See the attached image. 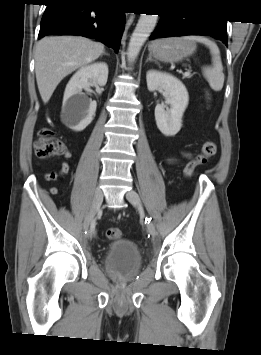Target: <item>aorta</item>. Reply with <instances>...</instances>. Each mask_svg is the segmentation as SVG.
I'll use <instances>...</instances> for the list:
<instances>
[{"label": "aorta", "instance_id": "762f6f07", "mask_svg": "<svg viewBox=\"0 0 261 355\" xmlns=\"http://www.w3.org/2000/svg\"><path fill=\"white\" fill-rule=\"evenodd\" d=\"M157 17V15L141 14L128 44L127 57L129 61L132 62L137 58L143 44L155 28Z\"/></svg>", "mask_w": 261, "mask_h": 355}]
</instances>
